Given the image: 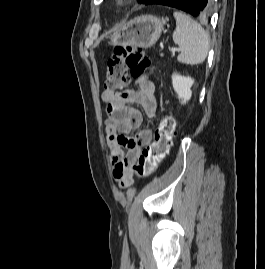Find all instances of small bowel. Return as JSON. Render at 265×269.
Segmentation results:
<instances>
[{"label":"small bowel","instance_id":"1","mask_svg":"<svg viewBox=\"0 0 265 269\" xmlns=\"http://www.w3.org/2000/svg\"><path fill=\"white\" fill-rule=\"evenodd\" d=\"M137 85V89H128L121 93L106 89L101 94L106 103L105 128L113 177L123 187L132 183V167L142 148L151 139L150 130H141L137 136L130 135L143 121L142 113L130 105H139L148 117H153L158 107L154 82L140 76Z\"/></svg>","mask_w":265,"mask_h":269}]
</instances>
